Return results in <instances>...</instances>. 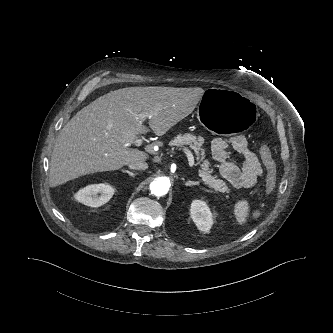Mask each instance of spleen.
<instances>
[{"mask_svg": "<svg viewBox=\"0 0 333 333\" xmlns=\"http://www.w3.org/2000/svg\"><path fill=\"white\" fill-rule=\"evenodd\" d=\"M249 213V204L246 200L237 201L234 205V214L237 222L242 225L245 223Z\"/></svg>", "mask_w": 333, "mask_h": 333, "instance_id": "spleen-1", "label": "spleen"}]
</instances>
